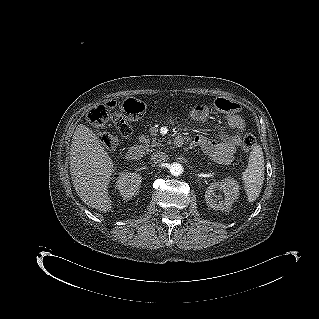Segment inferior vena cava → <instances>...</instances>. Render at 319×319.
Listing matches in <instances>:
<instances>
[{
    "label": "inferior vena cava",
    "instance_id": "obj_1",
    "mask_svg": "<svg viewBox=\"0 0 319 319\" xmlns=\"http://www.w3.org/2000/svg\"><path fill=\"white\" fill-rule=\"evenodd\" d=\"M168 160V155L164 152L157 151L151 155V161L155 164H160Z\"/></svg>",
    "mask_w": 319,
    "mask_h": 319
}]
</instances>
